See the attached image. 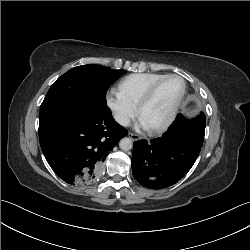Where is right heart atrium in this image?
Here are the masks:
<instances>
[{"mask_svg": "<svg viewBox=\"0 0 250 250\" xmlns=\"http://www.w3.org/2000/svg\"><path fill=\"white\" fill-rule=\"evenodd\" d=\"M106 102L113 118L121 126H127L136 115V106L131 104L116 89H110L106 94Z\"/></svg>", "mask_w": 250, "mask_h": 250, "instance_id": "obj_1", "label": "right heart atrium"}]
</instances>
